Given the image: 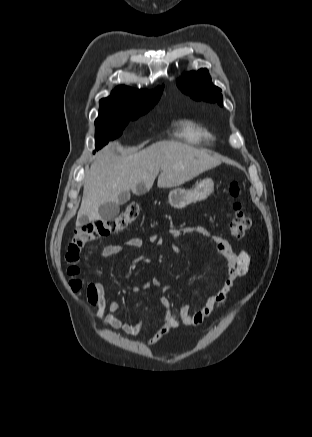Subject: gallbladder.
Masks as SVG:
<instances>
[{
    "instance_id": "bac80fb5",
    "label": "gallbladder",
    "mask_w": 312,
    "mask_h": 437,
    "mask_svg": "<svg viewBox=\"0 0 312 437\" xmlns=\"http://www.w3.org/2000/svg\"><path fill=\"white\" fill-rule=\"evenodd\" d=\"M130 200V192H121L118 196L117 202H107L99 207L100 219L103 221H109L115 218L120 212V205L125 204ZM86 220L81 219V223L84 224Z\"/></svg>"
}]
</instances>
